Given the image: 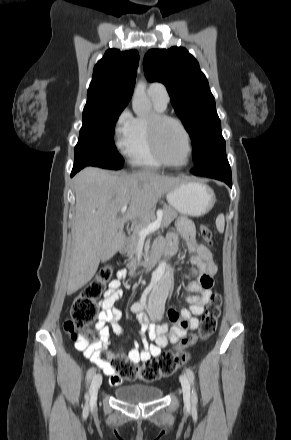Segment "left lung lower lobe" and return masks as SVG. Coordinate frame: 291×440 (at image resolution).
<instances>
[{"instance_id":"1","label":"left lung lower lobe","mask_w":291,"mask_h":440,"mask_svg":"<svg viewBox=\"0 0 291 440\" xmlns=\"http://www.w3.org/2000/svg\"><path fill=\"white\" fill-rule=\"evenodd\" d=\"M194 175L205 176L224 181L232 187L231 168L223 150L212 156L205 164L191 170Z\"/></svg>"}]
</instances>
